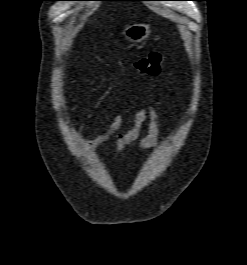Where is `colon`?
Instances as JSON below:
<instances>
[{"instance_id":"colon-1","label":"colon","mask_w":247,"mask_h":265,"mask_svg":"<svg viewBox=\"0 0 247 265\" xmlns=\"http://www.w3.org/2000/svg\"><path fill=\"white\" fill-rule=\"evenodd\" d=\"M165 57L159 52H151L138 60L132 67L143 76H157L160 71Z\"/></svg>"}]
</instances>
